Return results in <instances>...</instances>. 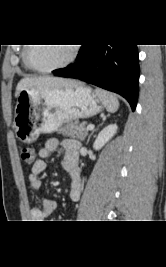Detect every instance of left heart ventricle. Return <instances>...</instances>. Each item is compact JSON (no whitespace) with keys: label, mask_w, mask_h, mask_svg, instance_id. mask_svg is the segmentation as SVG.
I'll use <instances>...</instances> for the list:
<instances>
[{"label":"left heart ventricle","mask_w":166,"mask_h":267,"mask_svg":"<svg viewBox=\"0 0 166 267\" xmlns=\"http://www.w3.org/2000/svg\"><path fill=\"white\" fill-rule=\"evenodd\" d=\"M71 53L68 45H34L30 49V61L40 68H49L64 62Z\"/></svg>","instance_id":"b2bd125f"}]
</instances>
